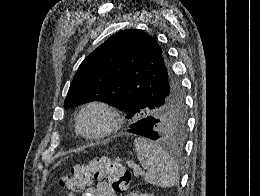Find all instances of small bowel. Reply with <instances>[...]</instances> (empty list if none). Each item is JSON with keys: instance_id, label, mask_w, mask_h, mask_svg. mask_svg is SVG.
<instances>
[{"instance_id": "1", "label": "small bowel", "mask_w": 260, "mask_h": 196, "mask_svg": "<svg viewBox=\"0 0 260 196\" xmlns=\"http://www.w3.org/2000/svg\"><path fill=\"white\" fill-rule=\"evenodd\" d=\"M84 196H116V192L110 182L100 180L96 185L90 186Z\"/></svg>"}]
</instances>
